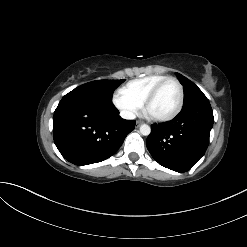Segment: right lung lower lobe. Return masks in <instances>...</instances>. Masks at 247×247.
<instances>
[{"label":"right lung lower lobe","mask_w":247,"mask_h":247,"mask_svg":"<svg viewBox=\"0 0 247 247\" xmlns=\"http://www.w3.org/2000/svg\"><path fill=\"white\" fill-rule=\"evenodd\" d=\"M118 114L112 102L65 95L54 112L55 145L75 165L101 162L120 148L135 127V121Z\"/></svg>","instance_id":"right-lung-lower-lobe-1"}]
</instances>
